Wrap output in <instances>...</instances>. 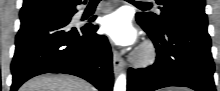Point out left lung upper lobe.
<instances>
[{"mask_svg": "<svg viewBox=\"0 0 220 91\" xmlns=\"http://www.w3.org/2000/svg\"><path fill=\"white\" fill-rule=\"evenodd\" d=\"M161 14L137 13L148 28L162 31L176 22L207 26L205 0H156Z\"/></svg>", "mask_w": 220, "mask_h": 91, "instance_id": "1", "label": "left lung upper lobe"}]
</instances>
